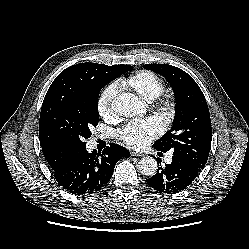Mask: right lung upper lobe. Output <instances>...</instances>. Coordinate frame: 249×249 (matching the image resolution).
<instances>
[{"mask_svg": "<svg viewBox=\"0 0 249 249\" xmlns=\"http://www.w3.org/2000/svg\"><path fill=\"white\" fill-rule=\"evenodd\" d=\"M67 70L73 71L86 79L95 81L99 79V66L97 63H81L70 66ZM43 154L53 171L62 167L71 160L75 152L58 145L42 143Z\"/></svg>", "mask_w": 249, "mask_h": 249, "instance_id": "cb5924a9", "label": "right lung upper lobe"}]
</instances>
